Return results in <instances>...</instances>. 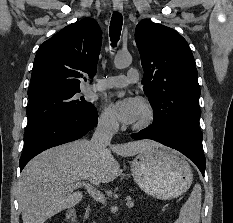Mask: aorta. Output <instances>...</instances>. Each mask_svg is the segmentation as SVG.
I'll use <instances>...</instances> for the list:
<instances>
[{
  "label": "aorta",
  "mask_w": 233,
  "mask_h": 223,
  "mask_svg": "<svg viewBox=\"0 0 233 223\" xmlns=\"http://www.w3.org/2000/svg\"><path fill=\"white\" fill-rule=\"evenodd\" d=\"M114 64L115 68H118V70H123V68H128V66L132 64V58L131 56H124V58H119V56H116ZM122 96H125V94H119V98H122Z\"/></svg>",
  "instance_id": "762f6f07"
}]
</instances>
